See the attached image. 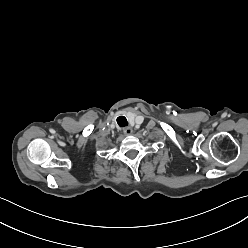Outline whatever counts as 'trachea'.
Here are the masks:
<instances>
[{
	"label": "trachea",
	"instance_id": "obj_1",
	"mask_svg": "<svg viewBox=\"0 0 248 248\" xmlns=\"http://www.w3.org/2000/svg\"><path fill=\"white\" fill-rule=\"evenodd\" d=\"M117 123L119 124V126L124 127L127 126V120L124 116H120L117 118Z\"/></svg>",
	"mask_w": 248,
	"mask_h": 248
}]
</instances>
